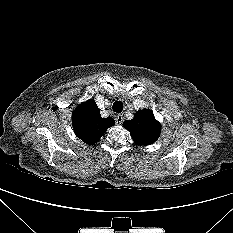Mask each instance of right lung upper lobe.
<instances>
[{
	"label": "right lung upper lobe",
	"mask_w": 233,
	"mask_h": 233,
	"mask_svg": "<svg viewBox=\"0 0 233 233\" xmlns=\"http://www.w3.org/2000/svg\"><path fill=\"white\" fill-rule=\"evenodd\" d=\"M74 132L87 144H95L115 124L112 117L102 118L93 99L81 103L72 113Z\"/></svg>",
	"instance_id": "right-lung-upper-lobe-1"
}]
</instances>
